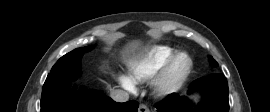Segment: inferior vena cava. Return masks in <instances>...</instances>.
<instances>
[{
  "label": "inferior vena cava",
  "mask_w": 270,
  "mask_h": 112,
  "mask_svg": "<svg viewBox=\"0 0 270 112\" xmlns=\"http://www.w3.org/2000/svg\"><path fill=\"white\" fill-rule=\"evenodd\" d=\"M110 97L116 102H126L129 100V94L123 90H112Z\"/></svg>",
  "instance_id": "inferior-vena-cava-1"
}]
</instances>
